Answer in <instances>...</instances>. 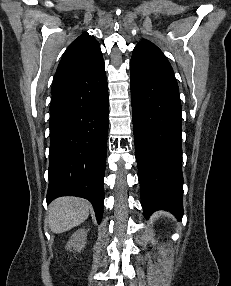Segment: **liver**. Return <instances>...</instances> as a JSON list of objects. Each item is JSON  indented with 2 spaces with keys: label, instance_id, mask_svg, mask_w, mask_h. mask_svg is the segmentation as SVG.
Listing matches in <instances>:
<instances>
[{
  "label": "liver",
  "instance_id": "obj_1",
  "mask_svg": "<svg viewBox=\"0 0 231 286\" xmlns=\"http://www.w3.org/2000/svg\"><path fill=\"white\" fill-rule=\"evenodd\" d=\"M91 204L78 197H60L48 208V224L53 233H63L81 223L89 216Z\"/></svg>",
  "mask_w": 231,
  "mask_h": 286
}]
</instances>
